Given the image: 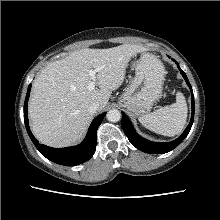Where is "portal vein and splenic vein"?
Returning <instances> with one entry per match:
<instances>
[{
  "instance_id": "18ae733b",
  "label": "portal vein and splenic vein",
  "mask_w": 220,
  "mask_h": 220,
  "mask_svg": "<svg viewBox=\"0 0 220 220\" xmlns=\"http://www.w3.org/2000/svg\"><path fill=\"white\" fill-rule=\"evenodd\" d=\"M99 69H91L89 71V76L91 77L92 81L88 85V90L92 91L95 89L96 86V73Z\"/></svg>"
}]
</instances>
